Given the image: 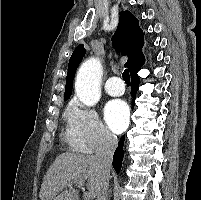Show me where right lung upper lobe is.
<instances>
[{
    "label": "right lung upper lobe",
    "mask_w": 201,
    "mask_h": 200,
    "mask_svg": "<svg viewBox=\"0 0 201 200\" xmlns=\"http://www.w3.org/2000/svg\"><path fill=\"white\" fill-rule=\"evenodd\" d=\"M143 35L138 19L131 12L122 11L112 42L117 52H121L122 55H128L129 59L125 66L129 68L131 74L138 72L145 62L144 55L141 52L144 43ZM84 56L85 48L83 44H80L76 47L69 60L64 99L68 100L71 96L75 72Z\"/></svg>",
    "instance_id": "cb5924a9"
}]
</instances>
